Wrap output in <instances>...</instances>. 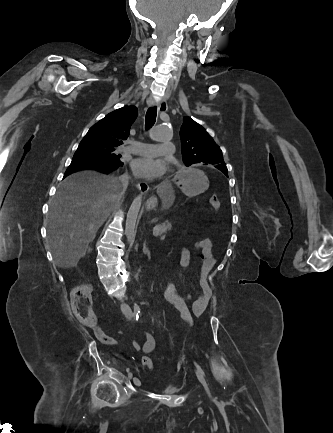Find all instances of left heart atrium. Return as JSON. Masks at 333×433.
Returning a JSON list of instances; mask_svg holds the SVG:
<instances>
[{
    "label": "left heart atrium",
    "mask_w": 333,
    "mask_h": 433,
    "mask_svg": "<svg viewBox=\"0 0 333 433\" xmlns=\"http://www.w3.org/2000/svg\"><path fill=\"white\" fill-rule=\"evenodd\" d=\"M131 167L137 176L143 178H158L165 172L164 163L153 157H139L131 162Z\"/></svg>",
    "instance_id": "obj_1"
}]
</instances>
